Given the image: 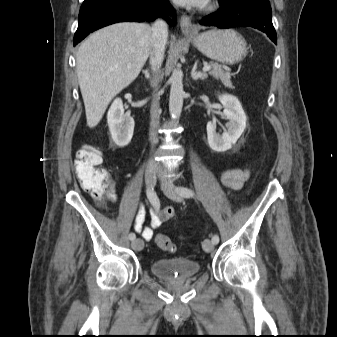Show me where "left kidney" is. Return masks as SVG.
I'll return each mask as SVG.
<instances>
[{
    "instance_id": "5707ae66",
    "label": "left kidney",
    "mask_w": 337,
    "mask_h": 337,
    "mask_svg": "<svg viewBox=\"0 0 337 337\" xmlns=\"http://www.w3.org/2000/svg\"><path fill=\"white\" fill-rule=\"evenodd\" d=\"M219 101L224 107L223 116L229 120L227 131L223 135L216 133L214 121L207 123V139L210 148L216 152H225L232 148L246 128L247 117L239 100L233 95H220Z\"/></svg>"
}]
</instances>
